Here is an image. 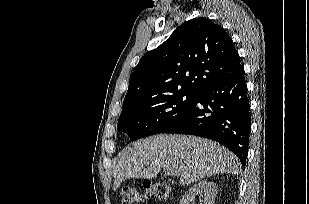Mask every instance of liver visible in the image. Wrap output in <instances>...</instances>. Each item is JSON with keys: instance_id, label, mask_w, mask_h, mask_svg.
<instances>
[{"instance_id": "obj_1", "label": "liver", "mask_w": 309, "mask_h": 204, "mask_svg": "<svg viewBox=\"0 0 309 204\" xmlns=\"http://www.w3.org/2000/svg\"><path fill=\"white\" fill-rule=\"evenodd\" d=\"M146 166V168H144ZM173 168L181 185L215 174H238L239 159L215 141L195 136L156 135L134 142L113 169V190L130 178L152 179Z\"/></svg>"}]
</instances>
